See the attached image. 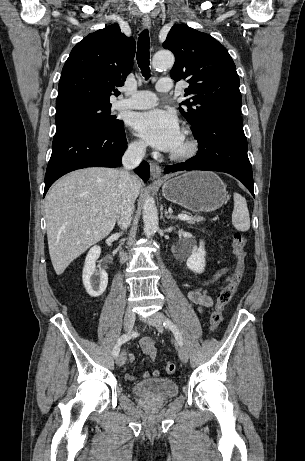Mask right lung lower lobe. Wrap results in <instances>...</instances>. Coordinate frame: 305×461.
Wrapping results in <instances>:
<instances>
[{"label": "right lung lower lobe", "mask_w": 305, "mask_h": 461, "mask_svg": "<svg viewBox=\"0 0 305 461\" xmlns=\"http://www.w3.org/2000/svg\"><path fill=\"white\" fill-rule=\"evenodd\" d=\"M127 148L124 123L115 129H96L76 122L57 125L52 154L45 174L44 196L61 176L85 167H117ZM135 172L146 182L149 164L143 161Z\"/></svg>", "instance_id": "1"}]
</instances>
